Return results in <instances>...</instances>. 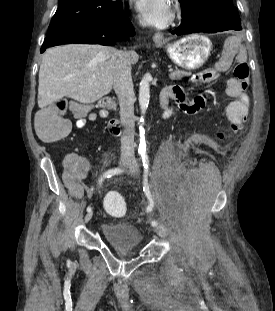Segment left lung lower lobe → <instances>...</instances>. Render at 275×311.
Returning <instances> with one entry per match:
<instances>
[{
    "instance_id": "0a47b994",
    "label": "left lung lower lobe",
    "mask_w": 275,
    "mask_h": 311,
    "mask_svg": "<svg viewBox=\"0 0 275 311\" xmlns=\"http://www.w3.org/2000/svg\"><path fill=\"white\" fill-rule=\"evenodd\" d=\"M227 30H242L241 21L233 20L226 12H209L200 17L184 20L171 33L183 35L196 32L216 33Z\"/></svg>"
}]
</instances>
